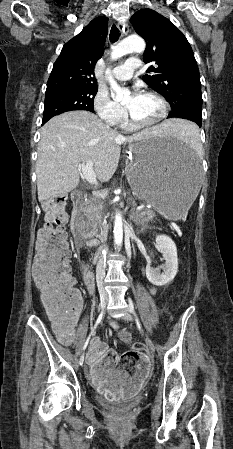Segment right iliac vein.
Instances as JSON below:
<instances>
[{
	"label": "right iliac vein",
	"instance_id": "obj_1",
	"mask_svg": "<svg viewBox=\"0 0 233 449\" xmlns=\"http://www.w3.org/2000/svg\"><path fill=\"white\" fill-rule=\"evenodd\" d=\"M107 302H108L107 297L102 296V297H101V304H100L101 310H104V309H105V307H106V305H107ZM83 362H84V356H81V357H80V360H79V364L82 365Z\"/></svg>",
	"mask_w": 233,
	"mask_h": 449
}]
</instances>
